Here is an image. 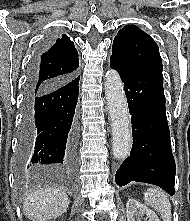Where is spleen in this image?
<instances>
[{
  "label": "spleen",
  "instance_id": "spleen-1",
  "mask_svg": "<svg viewBox=\"0 0 190 221\" xmlns=\"http://www.w3.org/2000/svg\"><path fill=\"white\" fill-rule=\"evenodd\" d=\"M146 204L154 208L161 216L163 221H171V204L167 195L160 189L149 188L144 193Z\"/></svg>",
  "mask_w": 190,
  "mask_h": 221
}]
</instances>
